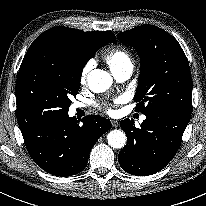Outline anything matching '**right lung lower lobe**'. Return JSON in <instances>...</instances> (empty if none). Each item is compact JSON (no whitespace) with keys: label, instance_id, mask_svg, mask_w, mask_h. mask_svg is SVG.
Here are the masks:
<instances>
[{"label":"right lung lower lobe","instance_id":"right-lung-lower-lobe-1","mask_svg":"<svg viewBox=\"0 0 206 206\" xmlns=\"http://www.w3.org/2000/svg\"><path fill=\"white\" fill-rule=\"evenodd\" d=\"M82 122L79 125V120L67 114L21 130L35 163L56 176H71L83 171L92 147L112 125L108 119L96 115H89Z\"/></svg>","mask_w":206,"mask_h":206}]
</instances>
